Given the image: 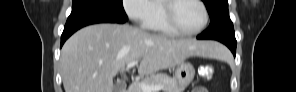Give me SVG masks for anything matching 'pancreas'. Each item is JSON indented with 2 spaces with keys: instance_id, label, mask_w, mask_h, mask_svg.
<instances>
[{
  "instance_id": "pancreas-1",
  "label": "pancreas",
  "mask_w": 296,
  "mask_h": 92,
  "mask_svg": "<svg viewBox=\"0 0 296 92\" xmlns=\"http://www.w3.org/2000/svg\"><path fill=\"white\" fill-rule=\"evenodd\" d=\"M141 83H146L149 85H163L162 91L163 92H183L184 88L178 86L175 78H172L166 74H156L150 75L143 79ZM130 92H143L139 85L134 84L130 88Z\"/></svg>"
}]
</instances>
